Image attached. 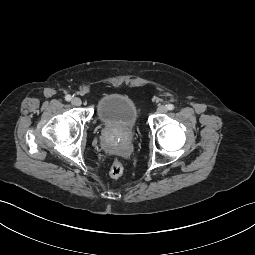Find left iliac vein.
I'll use <instances>...</instances> for the list:
<instances>
[{"instance_id":"1","label":"left iliac vein","mask_w":255,"mask_h":255,"mask_svg":"<svg viewBox=\"0 0 255 255\" xmlns=\"http://www.w3.org/2000/svg\"><path fill=\"white\" fill-rule=\"evenodd\" d=\"M167 110H168L167 107L164 106V105L159 106L158 109H157L158 113H161V114L166 113Z\"/></svg>"}]
</instances>
